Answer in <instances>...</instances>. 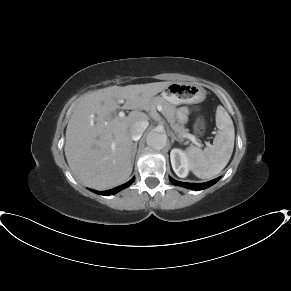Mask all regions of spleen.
<instances>
[{
	"label": "spleen",
	"mask_w": 291,
	"mask_h": 291,
	"mask_svg": "<svg viewBox=\"0 0 291 291\" xmlns=\"http://www.w3.org/2000/svg\"><path fill=\"white\" fill-rule=\"evenodd\" d=\"M216 126L218 134L213 145L204 150L196 146H190L186 150L192 172L201 179H209L219 174L228 164L233 152L234 125L230 115L220 105L216 110Z\"/></svg>",
	"instance_id": "1"
}]
</instances>
